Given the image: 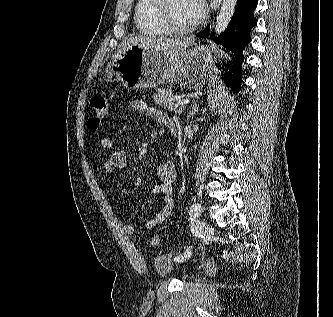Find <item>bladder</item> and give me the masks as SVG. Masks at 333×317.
I'll use <instances>...</instances> for the list:
<instances>
[{
	"label": "bladder",
	"mask_w": 333,
	"mask_h": 317,
	"mask_svg": "<svg viewBox=\"0 0 333 317\" xmlns=\"http://www.w3.org/2000/svg\"><path fill=\"white\" fill-rule=\"evenodd\" d=\"M155 273L160 277L177 276L186 277L191 272V267L182 266L177 263L171 254H162L153 260Z\"/></svg>",
	"instance_id": "31cf9c89"
}]
</instances>
